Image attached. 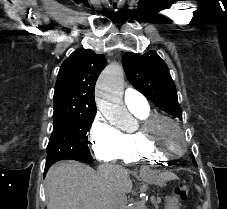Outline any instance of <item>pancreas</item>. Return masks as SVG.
I'll use <instances>...</instances> for the list:
<instances>
[{"mask_svg":"<svg viewBox=\"0 0 227 209\" xmlns=\"http://www.w3.org/2000/svg\"><path fill=\"white\" fill-rule=\"evenodd\" d=\"M152 209H158L156 206H154Z\"/></svg>","mask_w":227,"mask_h":209,"instance_id":"pancreas-1","label":"pancreas"}]
</instances>
